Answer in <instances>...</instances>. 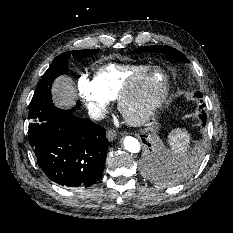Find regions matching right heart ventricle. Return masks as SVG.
Wrapping results in <instances>:
<instances>
[{
    "label": "right heart ventricle",
    "instance_id": "1",
    "mask_svg": "<svg viewBox=\"0 0 233 233\" xmlns=\"http://www.w3.org/2000/svg\"><path fill=\"white\" fill-rule=\"evenodd\" d=\"M151 67L149 65L109 64L100 68L94 77L98 88L108 100H116L121 90L129 83L143 77Z\"/></svg>",
    "mask_w": 233,
    "mask_h": 233
}]
</instances>
